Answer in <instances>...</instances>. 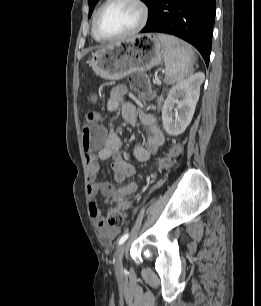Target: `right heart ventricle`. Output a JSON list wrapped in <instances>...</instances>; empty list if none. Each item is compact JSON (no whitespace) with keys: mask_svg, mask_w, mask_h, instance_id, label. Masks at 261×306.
Here are the masks:
<instances>
[{"mask_svg":"<svg viewBox=\"0 0 261 306\" xmlns=\"http://www.w3.org/2000/svg\"><path fill=\"white\" fill-rule=\"evenodd\" d=\"M92 36H93V38H94V39L98 40V39H97V38L94 36V34H93V30H92Z\"/></svg>","mask_w":261,"mask_h":306,"instance_id":"e07e8e85","label":"right heart ventricle"}]
</instances>
